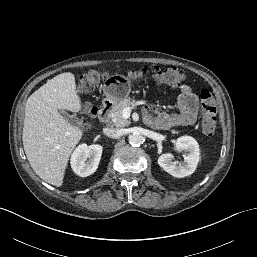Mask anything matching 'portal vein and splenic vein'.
Masks as SVG:
<instances>
[{"mask_svg":"<svg viewBox=\"0 0 257 257\" xmlns=\"http://www.w3.org/2000/svg\"><path fill=\"white\" fill-rule=\"evenodd\" d=\"M130 114H131V109L129 107L125 108L123 111H122V117L124 119H128L130 117Z\"/></svg>","mask_w":257,"mask_h":257,"instance_id":"obj_1","label":"portal vein and splenic vein"}]
</instances>
